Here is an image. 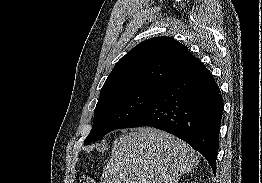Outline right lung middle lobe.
Listing matches in <instances>:
<instances>
[{
  "mask_svg": "<svg viewBox=\"0 0 262 183\" xmlns=\"http://www.w3.org/2000/svg\"><path fill=\"white\" fill-rule=\"evenodd\" d=\"M157 91L131 89L100 96L94 111L93 127L85 144L103 138L110 131L124 128L149 104Z\"/></svg>",
  "mask_w": 262,
  "mask_h": 183,
  "instance_id": "obj_1",
  "label": "right lung middle lobe"
}]
</instances>
